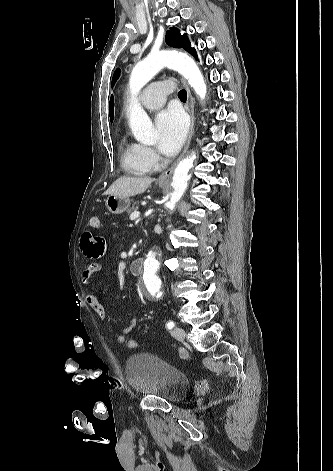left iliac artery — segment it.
Here are the masks:
<instances>
[{"label":"left iliac artery","instance_id":"44dca946","mask_svg":"<svg viewBox=\"0 0 333 471\" xmlns=\"http://www.w3.org/2000/svg\"><path fill=\"white\" fill-rule=\"evenodd\" d=\"M167 328L168 329H172L174 326H175V323L173 321H169L167 324H166Z\"/></svg>","mask_w":333,"mask_h":471}]
</instances>
